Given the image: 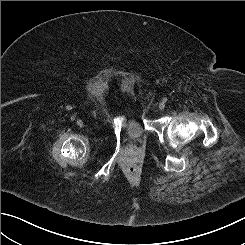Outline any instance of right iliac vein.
Returning <instances> with one entry per match:
<instances>
[{
    "mask_svg": "<svg viewBox=\"0 0 245 245\" xmlns=\"http://www.w3.org/2000/svg\"><path fill=\"white\" fill-rule=\"evenodd\" d=\"M76 123H77V125H78L79 127H82V126H83V121L80 120V119L77 120Z\"/></svg>",
    "mask_w": 245,
    "mask_h": 245,
    "instance_id": "63e3f726",
    "label": "right iliac vein"
}]
</instances>
